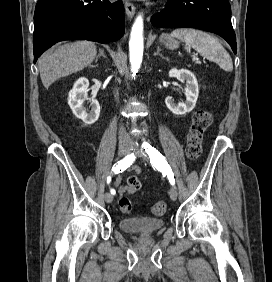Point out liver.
I'll use <instances>...</instances> for the list:
<instances>
[{"mask_svg": "<svg viewBox=\"0 0 272 282\" xmlns=\"http://www.w3.org/2000/svg\"><path fill=\"white\" fill-rule=\"evenodd\" d=\"M97 48L90 41L59 45L42 55L38 61L41 81L45 88L61 77L81 71L96 57Z\"/></svg>", "mask_w": 272, "mask_h": 282, "instance_id": "6515ba94", "label": "liver"}]
</instances>
